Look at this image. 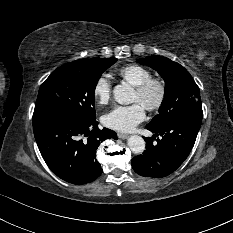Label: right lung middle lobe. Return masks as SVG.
Returning a JSON list of instances; mask_svg holds the SVG:
<instances>
[{"mask_svg": "<svg viewBox=\"0 0 233 233\" xmlns=\"http://www.w3.org/2000/svg\"><path fill=\"white\" fill-rule=\"evenodd\" d=\"M116 61V58L77 60L55 70L39 89L34 114L96 118L94 91L97 82Z\"/></svg>", "mask_w": 233, "mask_h": 233, "instance_id": "obj_1", "label": "right lung middle lobe"}]
</instances>
